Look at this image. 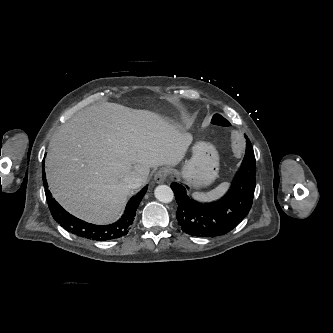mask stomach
Masks as SVG:
<instances>
[{"instance_id": "1", "label": "stomach", "mask_w": 333, "mask_h": 333, "mask_svg": "<svg viewBox=\"0 0 333 333\" xmlns=\"http://www.w3.org/2000/svg\"><path fill=\"white\" fill-rule=\"evenodd\" d=\"M191 159L185 161L181 176L194 188L210 185L218 176L219 155L209 142L200 141L192 147Z\"/></svg>"}]
</instances>
